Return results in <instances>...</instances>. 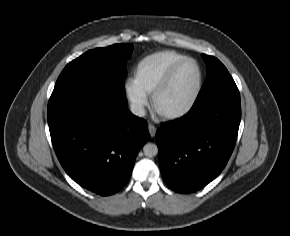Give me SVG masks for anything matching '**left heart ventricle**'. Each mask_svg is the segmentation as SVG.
Returning <instances> with one entry per match:
<instances>
[{
  "label": "left heart ventricle",
  "instance_id": "1",
  "mask_svg": "<svg viewBox=\"0 0 290 236\" xmlns=\"http://www.w3.org/2000/svg\"><path fill=\"white\" fill-rule=\"evenodd\" d=\"M197 84V69L191 62L181 65L173 75L168 87L157 99L162 111H175L184 107L191 99Z\"/></svg>",
  "mask_w": 290,
  "mask_h": 236
}]
</instances>
